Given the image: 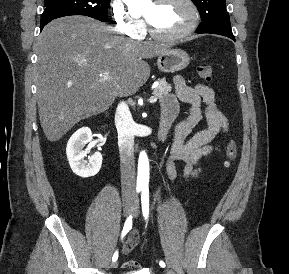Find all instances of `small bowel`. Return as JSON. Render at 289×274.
<instances>
[{
  "instance_id": "obj_1",
  "label": "small bowel",
  "mask_w": 289,
  "mask_h": 274,
  "mask_svg": "<svg viewBox=\"0 0 289 274\" xmlns=\"http://www.w3.org/2000/svg\"><path fill=\"white\" fill-rule=\"evenodd\" d=\"M175 95L167 94L162 99V113L175 111L179 102L190 106L188 116L173 130L170 157L166 164L167 175L171 181L177 177L176 162H185L183 178L186 181L198 178L202 173L201 163L209 156L214 145L211 141L229 129L226 116L220 110L213 89L204 84L188 86L181 76L174 78ZM206 127L189 139L187 136L202 119ZM139 243V233L133 230L121 247L122 254L130 253Z\"/></svg>"
}]
</instances>
